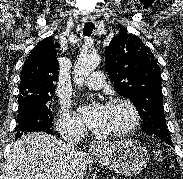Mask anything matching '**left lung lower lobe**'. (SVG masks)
<instances>
[{"label":"left lung lower lobe","instance_id":"1","mask_svg":"<svg viewBox=\"0 0 183 179\" xmlns=\"http://www.w3.org/2000/svg\"><path fill=\"white\" fill-rule=\"evenodd\" d=\"M165 142L168 143L169 145L173 146V144L171 143V139H166Z\"/></svg>","mask_w":183,"mask_h":179}]
</instances>
